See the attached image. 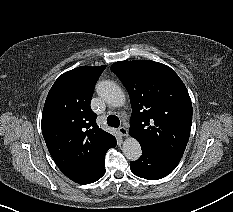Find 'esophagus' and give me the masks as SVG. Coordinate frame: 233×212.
<instances>
[{"label":"esophagus","mask_w":233,"mask_h":212,"mask_svg":"<svg viewBox=\"0 0 233 212\" xmlns=\"http://www.w3.org/2000/svg\"><path fill=\"white\" fill-rule=\"evenodd\" d=\"M118 132L123 137H127L128 136V130L125 127H123V126L118 128Z\"/></svg>","instance_id":"esophagus-1"}]
</instances>
